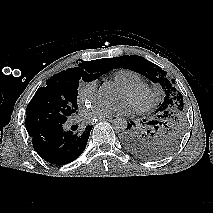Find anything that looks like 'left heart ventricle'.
<instances>
[{
    "instance_id": "obj_1",
    "label": "left heart ventricle",
    "mask_w": 213,
    "mask_h": 213,
    "mask_svg": "<svg viewBox=\"0 0 213 213\" xmlns=\"http://www.w3.org/2000/svg\"><path fill=\"white\" fill-rule=\"evenodd\" d=\"M119 100L120 101H126L129 104H131V103L142 104L146 101V95H145L144 92H138L134 95H130L126 91L121 89L120 94H119Z\"/></svg>"
}]
</instances>
